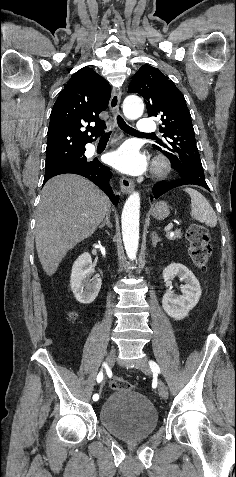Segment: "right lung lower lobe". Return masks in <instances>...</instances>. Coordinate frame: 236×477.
I'll return each mask as SVG.
<instances>
[{"instance_id":"right-lung-lower-lobe-1","label":"right lung lower lobe","mask_w":236,"mask_h":477,"mask_svg":"<svg viewBox=\"0 0 236 477\" xmlns=\"http://www.w3.org/2000/svg\"><path fill=\"white\" fill-rule=\"evenodd\" d=\"M66 173L78 174L88 178L109 195V198L114 205L118 204L119 197L113 195L112 189L109 185V180L112 176L110 168L103 165L98 159L87 161L82 164H70L46 169L44 183L56 175Z\"/></svg>"}]
</instances>
